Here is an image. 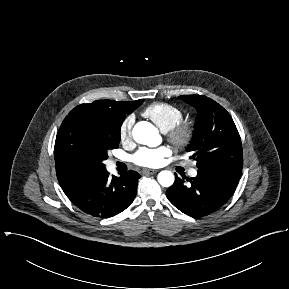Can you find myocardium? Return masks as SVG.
I'll use <instances>...</instances> for the list:
<instances>
[{
    "label": "myocardium",
    "mask_w": 289,
    "mask_h": 289,
    "mask_svg": "<svg viewBox=\"0 0 289 289\" xmlns=\"http://www.w3.org/2000/svg\"><path fill=\"white\" fill-rule=\"evenodd\" d=\"M195 128L189 121H180L166 132L168 140L179 149L187 148L193 140Z\"/></svg>",
    "instance_id": "myocardium-1"
}]
</instances>
